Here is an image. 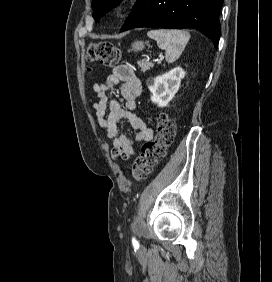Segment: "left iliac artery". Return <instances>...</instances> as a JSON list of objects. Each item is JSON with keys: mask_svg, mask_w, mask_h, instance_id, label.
Here are the masks:
<instances>
[{"mask_svg": "<svg viewBox=\"0 0 272 282\" xmlns=\"http://www.w3.org/2000/svg\"><path fill=\"white\" fill-rule=\"evenodd\" d=\"M132 241H133L134 244H138V242L136 241L135 238H133Z\"/></svg>", "mask_w": 272, "mask_h": 282, "instance_id": "44dca946", "label": "left iliac artery"}]
</instances>
